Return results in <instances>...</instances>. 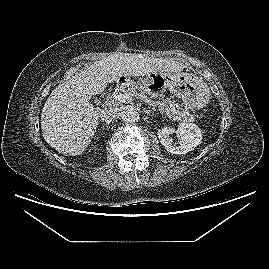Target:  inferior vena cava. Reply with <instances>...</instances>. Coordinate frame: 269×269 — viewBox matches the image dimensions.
<instances>
[{
  "mask_svg": "<svg viewBox=\"0 0 269 269\" xmlns=\"http://www.w3.org/2000/svg\"><path fill=\"white\" fill-rule=\"evenodd\" d=\"M121 115V107L114 104L101 111V120L109 124L114 118Z\"/></svg>",
  "mask_w": 269,
  "mask_h": 269,
  "instance_id": "1",
  "label": "inferior vena cava"
}]
</instances>
